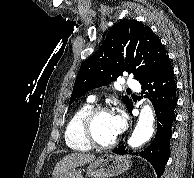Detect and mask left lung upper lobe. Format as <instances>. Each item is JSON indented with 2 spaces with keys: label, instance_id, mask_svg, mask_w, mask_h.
Instances as JSON below:
<instances>
[{
  "label": "left lung upper lobe",
  "instance_id": "1",
  "mask_svg": "<svg viewBox=\"0 0 194 178\" xmlns=\"http://www.w3.org/2000/svg\"><path fill=\"white\" fill-rule=\"evenodd\" d=\"M168 56L150 27L136 20H122L113 26L101 47L80 67L70 104L89 90L108 85L123 71L139 82L154 72ZM127 109L132 105L123 97Z\"/></svg>",
  "mask_w": 194,
  "mask_h": 178
}]
</instances>
